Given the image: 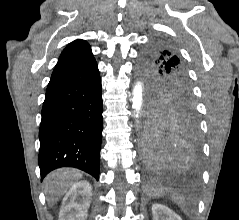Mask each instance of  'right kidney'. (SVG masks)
Wrapping results in <instances>:
<instances>
[{"label": "right kidney", "mask_w": 239, "mask_h": 220, "mask_svg": "<svg viewBox=\"0 0 239 220\" xmlns=\"http://www.w3.org/2000/svg\"><path fill=\"white\" fill-rule=\"evenodd\" d=\"M91 191V184L86 180L73 184L63 198L59 220H85L90 206Z\"/></svg>", "instance_id": "ca27d5eb"}]
</instances>
